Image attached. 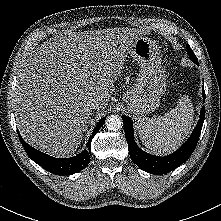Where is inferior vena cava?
I'll return each mask as SVG.
<instances>
[{
    "instance_id": "obj_1",
    "label": "inferior vena cava",
    "mask_w": 221,
    "mask_h": 221,
    "mask_svg": "<svg viewBox=\"0 0 221 221\" xmlns=\"http://www.w3.org/2000/svg\"><path fill=\"white\" fill-rule=\"evenodd\" d=\"M87 106L89 109L93 110V109L99 108L101 106V104L99 101L93 100V101L88 102Z\"/></svg>"
}]
</instances>
